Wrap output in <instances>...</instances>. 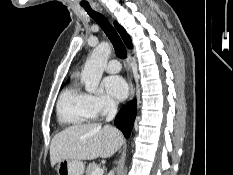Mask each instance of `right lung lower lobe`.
I'll use <instances>...</instances> for the list:
<instances>
[{"label":"right lung lower lobe","mask_w":233,"mask_h":175,"mask_svg":"<svg viewBox=\"0 0 233 175\" xmlns=\"http://www.w3.org/2000/svg\"><path fill=\"white\" fill-rule=\"evenodd\" d=\"M136 100L130 101L123 106L115 118V125L119 128L126 138L129 137L130 131L136 117Z\"/></svg>","instance_id":"1"}]
</instances>
